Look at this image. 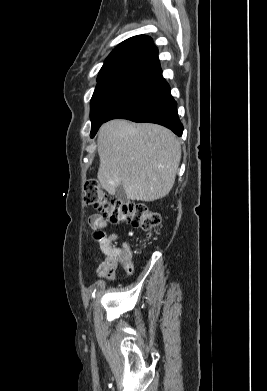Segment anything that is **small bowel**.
I'll use <instances>...</instances> for the list:
<instances>
[{
	"label": "small bowel",
	"mask_w": 267,
	"mask_h": 391,
	"mask_svg": "<svg viewBox=\"0 0 267 391\" xmlns=\"http://www.w3.org/2000/svg\"><path fill=\"white\" fill-rule=\"evenodd\" d=\"M89 226L92 230L97 231L107 227V221L100 215L93 214L88 219ZM119 238L118 234L111 233L108 237L99 242V247L104 254V260L98 265L97 273L100 277L113 279L117 274L118 257L124 252H129V248L115 247L113 243Z\"/></svg>",
	"instance_id": "c3829d8e"
}]
</instances>
